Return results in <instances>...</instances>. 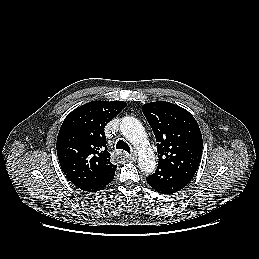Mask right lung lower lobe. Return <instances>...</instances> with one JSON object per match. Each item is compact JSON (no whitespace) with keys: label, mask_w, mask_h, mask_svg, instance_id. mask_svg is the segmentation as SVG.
<instances>
[{"label":"right lung lower lobe","mask_w":259,"mask_h":259,"mask_svg":"<svg viewBox=\"0 0 259 259\" xmlns=\"http://www.w3.org/2000/svg\"><path fill=\"white\" fill-rule=\"evenodd\" d=\"M114 174H115V171H112V172L108 173L105 177L100 179L99 181H97L93 184L81 187L80 189H82L84 191H89V192L99 191L113 180Z\"/></svg>","instance_id":"right-lung-lower-lobe-1"}]
</instances>
